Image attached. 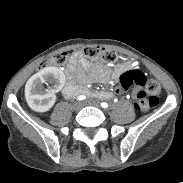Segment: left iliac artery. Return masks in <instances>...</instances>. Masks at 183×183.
<instances>
[{
	"label": "left iliac artery",
	"instance_id": "1",
	"mask_svg": "<svg viewBox=\"0 0 183 183\" xmlns=\"http://www.w3.org/2000/svg\"><path fill=\"white\" fill-rule=\"evenodd\" d=\"M101 106H102L103 108H108V104H107L106 102H102V103H101Z\"/></svg>",
	"mask_w": 183,
	"mask_h": 183
}]
</instances>
